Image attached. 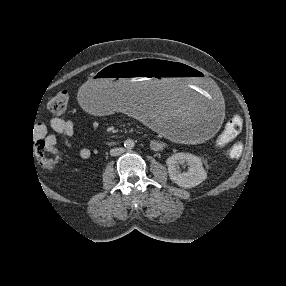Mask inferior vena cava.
Here are the masks:
<instances>
[{"instance_id":"602c4592","label":"inferior vena cava","mask_w":286,"mask_h":286,"mask_svg":"<svg viewBox=\"0 0 286 286\" xmlns=\"http://www.w3.org/2000/svg\"><path fill=\"white\" fill-rule=\"evenodd\" d=\"M124 152V148L122 147H117V148H113L110 150V155L111 156H119Z\"/></svg>"}]
</instances>
